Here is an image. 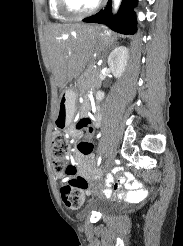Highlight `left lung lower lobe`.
<instances>
[{
    "label": "left lung lower lobe",
    "instance_id": "1",
    "mask_svg": "<svg viewBox=\"0 0 183 246\" xmlns=\"http://www.w3.org/2000/svg\"><path fill=\"white\" fill-rule=\"evenodd\" d=\"M137 0H123L118 14L113 17L111 14V0L105 9L97 14L83 19L84 22L105 24L114 31L122 34H134L136 32V17L133 5Z\"/></svg>",
    "mask_w": 183,
    "mask_h": 246
}]
</instances>
